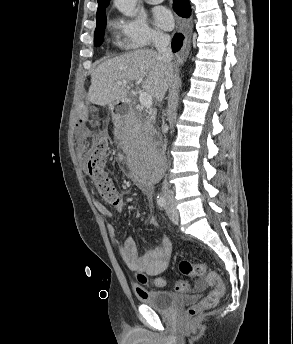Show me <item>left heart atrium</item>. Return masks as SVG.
I'll return each mask as SVG.
<instances>
[{
  "instance_id": "obj_1",
  "label": "left heart atrium",
  "mask_w": 293,
  "mask_h": 344,
  "mask_svg": "<svg viewBox=\"0 0 293 344\" xmlns=\"http://www.w3.org/2000/svg\"><path fill=\"white\" fill-rule=\"evenodd\" d=\"M155 24L164 30H169L173 25V17L166 8H156L153 12Z\"/></svg>"
}]
</instances>
